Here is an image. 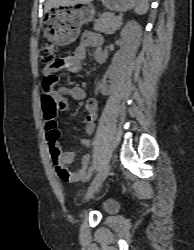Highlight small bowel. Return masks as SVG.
I'll return each mask as SVG.
<instances>
[{
    "label": "small bowel",
    "mask_w": 194,
    "mask_h": 250,
    "mask_svg": "<svg viewBox=\"0 0 194 250\" xmlns=\"http://www.w3.org/2000/svg\"><path fill=\"white\" fill-rule=\"evenodd\" d=\"M102 37L94 32H84L81 36V41L75 50L68 56L59 60L58 67L47 66L43 69V75L46 78L55 75L56 72H74L78 73L82 69V62L87 55L89 49H93L94 58L97 62L103 63L106 59V53L102 48ZM43 81V88L46 92L50 93L60 108H63L66 104L67 98L74 100H83L85 98V91L81 86L73 85L62 87L57 90H53V84H47ZM100 87L103 91L108 90L109 82L107 78L103 77L100 80ZM98 101L91 98L86 101L82 116V122L85 124V130L87 134H91L94 130V121L97 115ZM45 130L47 139L49 141V151L52 160L55 164H60L64 167L71 164L74 161L75 154L69 151L61 150L57 140L59 138V131L56 123V113L54 115H44ZM81 143L88 147L90 141L88 139H82ZM91 156L86 154L82 157L81 166L74 172H70V179L65 181L79 182L84 181L87 178V171L89 168Z\"/></svg>",
    "instance_id": "obj_1"
}]
</instances>
